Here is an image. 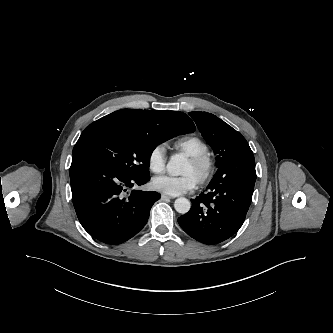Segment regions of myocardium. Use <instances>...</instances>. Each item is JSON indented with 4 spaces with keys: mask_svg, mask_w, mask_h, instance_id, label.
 <instances>
[{
    "mask_svg": "<svg viewBox=\"0 0 333 333\" xmlns=\"http://www.w3.org/2000/svg\"><path fill=\"white\" fill-rule=\"evenodd\" d=\"M198 170L197 183L199 185L206 184L215 172V161L209 154H201L190 156L188 159Z\"/></svg>",
    "mask_w": 333,
    "mask_h": 333,
    "instance_id": "myocardium-1",
    "label": "myocardium"
}]
</instances>
